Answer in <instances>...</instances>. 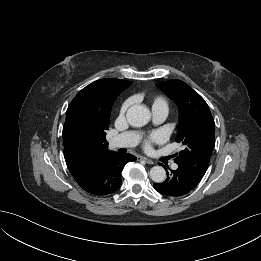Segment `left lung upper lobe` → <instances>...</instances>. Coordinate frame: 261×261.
<instances>
[{"mask_svg":"<svg viewBox=\"0 0 261 261\" xmlns=\"http://www.w3.org/2000/svg\"><path fill=\"white\" fill-rule=\"evenodd\" d=\"M179 108L176 141L184 149L175 154V162L201 180L215 146L214 120L205 100L180 80L156 84Z\"/></svg>","mask_w":261,"mask_h":261,"instance_id":"1","label":"left lung upper lobe"}]
</instances>
